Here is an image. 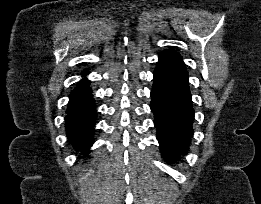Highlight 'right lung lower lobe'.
Here are the masks:
<instances>
[{"label": "right lung lower lobe", "instance_id": "right-lung-lower-lobe-1", "mask_svg": "<svg viewBox=\"0 0 261 204\" xmlns=\"http://www.w3.org/2000/svg\"><path fill=\"white\" fill-rule=\"evenodd\" d=\"M86 74L83 73L84 76ZM89 84L90 81L84 78L71 92L65 118L69 140L84 155L93 144L96 117L95 101Z\"/></svg>", "mask_w": 261, "mask_h": 204}]
</instances>
